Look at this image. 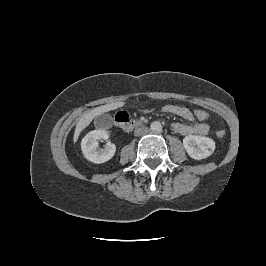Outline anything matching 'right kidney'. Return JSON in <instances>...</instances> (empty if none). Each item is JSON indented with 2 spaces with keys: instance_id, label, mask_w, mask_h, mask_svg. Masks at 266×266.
Returning <instances> with one entry per match:
<instances>
[{
  "instance_id": "right-kidney-1",
  "label": "right kidney",
  "mask_w": 266,
  "mask_h": 266,
  "mask_svg": "<svg viewBox=\"0 0 266 266\" xmlns=\"http://www.w3.org/2000/svg\"><path fill=\"white\" fill-rule=\"evenodd\" d=\"M109 137L110 132L106 129L89 132L81 141V149L84 157L97 164L110 160L116 152V146L114 144L109 142L104 149H98V140H107Z\"/></svg>"
}]
</instances>
